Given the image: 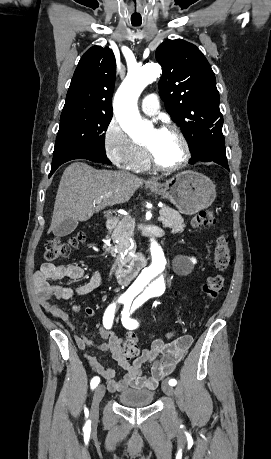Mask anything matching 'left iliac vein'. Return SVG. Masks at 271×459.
I'll use <instances>...</instances> for the list:
<instances>
[{
    "label": "left iliac vein",
    "mask_w": 271,
    "mask_h": 459,
    "mask_svg": "<svg viewBox=\"0 0 271 459\" xmlns=\"http://www.w3.org/2000/svg\"><path fill=\"white\" fill-rule=\"evenodd\" d=\"M162 390L165 394L169 395V396H173L174 395V391H173V388L171 387V385H169L167 383V380H164L162 382Z\"/></svg>",
    "instance_id": "4c4485c4"
}]
</instances>
